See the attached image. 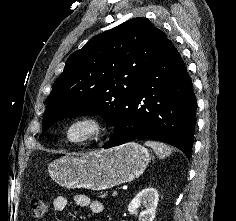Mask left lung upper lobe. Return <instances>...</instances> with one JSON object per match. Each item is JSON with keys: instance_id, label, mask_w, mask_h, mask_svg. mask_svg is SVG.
Instances as JSON below:
<instances>
[{"instance_id": "obj_1", "label": "left lung upper lobe", "mask_w": 236, "mask_h": 221, "mask_svg": "<svg viewBox=\"0 0 236 221\" xmlns=\"http://www.w3.org/2000/svg\"><path fill=\"white\" fill-rule=\"evenodd\" d=\"M167 39L134 18L91 38L65 63L47 99L43 132L63 117L101 116L114 125L145 69Z\"/></svg>"}]
</instances>
